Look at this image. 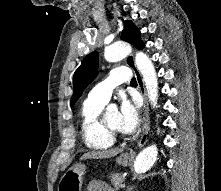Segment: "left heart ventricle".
I'll use <instances>...</instances> for the list:
<instances>
[{"instance_id": "1", "label": "left heart ventricle", "mask_w": 221, "mask_h": 191, "mask_svg": "<svg viewBox=\"0 0 221 191\" xmlns=\"http://www.w3.org/2000/svg\"><path fill=\"white\" fill-rule=\"evenodd\" d=\"M107 123L115 128V129H118V130H121L120 129V114L118 112H115L113 113L109 119L107 120Z\"/></svg>"}]
</instances>
